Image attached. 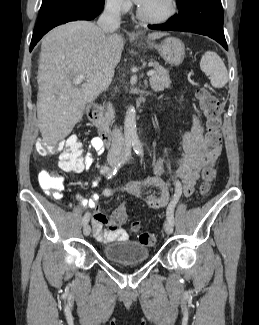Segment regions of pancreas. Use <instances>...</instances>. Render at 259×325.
Instances as JSON below:
<instances>
[{"mask_svg":"<svg viewBox=\"0 0 259 325\" xmlns=\"http://www.w3.org/2000/svg\"><path fill=\"white\" fill-rule=\"evenodd\" d=\"M154 74L150 77V85L153 91L159 92L163 91L165 88H169L171 80L169 78L168 71L161 65L155 63ZM115 116V111L112 104H108L104 110V114L100 119V126L106 130L109 129V124L113 121Z\"/></svg>","mask_w":259,"mask_h":325,"instance_id":"1","label":"pancreas"}]
</instances>
